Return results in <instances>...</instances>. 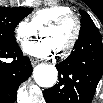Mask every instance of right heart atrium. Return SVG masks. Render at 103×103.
<instances>
[{"label": "right heart atrium", "instance_id": "right-heart-atrium-1", "mask_svg": "<svg viewBox=\"0 0 103 103\" xmlns=\"http://www.w3.org/2000/svg\"><path fill=\"white\" fill-rule=\"evenodd\" d=\"M36 33L37 29L33 23L25 19L18 21L14 28V37L20 46L24 45Z\"/></svg>", "mask_w": 103, "mask_h": 103}]
</instances>
